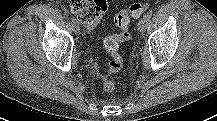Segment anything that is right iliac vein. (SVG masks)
<instances>
[{
	"instance_id": "63e3f726",
	"label": "right iliac vein",
	"mask_w": 217,
	"mask_h": 121,
	"mask_svg": "<svg viewBox=\"0 0 217 121\" xmlns=\"http://www.w3.org/2000/svg\"><path fill=\"white\" fill-rule=\"evenodd\" d=\"M72 27H73V31H74L76 34H78V33L80 32V28H79V25H78L77 22H76V23H73V24H72Z\"/></svg>"
}]
</instances>
